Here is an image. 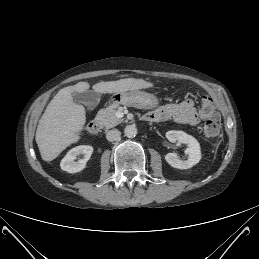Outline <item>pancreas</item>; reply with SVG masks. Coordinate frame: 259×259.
I'll return each mask as SVG.
<instances>
[{
	"mask_svg": "<svg viewBox=\"0 0 259 259\" xmlns=\"http://www.w3.org/2000/svg\"><path fill=\"white\" fill-rule=\"evenodd\" d=\"M96 120L106 129L115 127L123 121V119H119L116 116V106H111L106 109L99 110L96 115Z\"/></svg>",
	"mask_w": 259,
	"mask_h": 259,
	"instance_id": "cf45deb5",
	"label": "pancreas"
}]
</instances>
